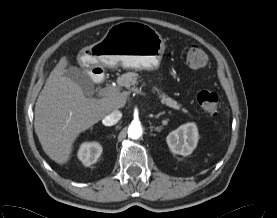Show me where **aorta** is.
I'll return each instance as SVG.
<instances>
[{"instance_id":"obj_1","label":"aorta","mask_w":277,"mask_h":218,"mask_svg":"<svg viewBox=\"0 0 277 218\" xmlns=\"http://www.w3.org/2000/svg\"><path fill=\"white\" fill-rule=\"evenodd\" d=\"M142 135V127L139 122H132L128 127V136L131 139H139Z\"/></svg>"}]
</instances>
